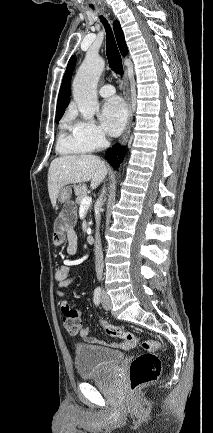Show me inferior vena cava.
<instances>
[{
	"label": "inferior vena cava",
	"instance_id": "602c4592",
	"mask_svg": "<svg viewBox=\"0 0 213 433\" xmlns=\"http://www.w3.org/2000/svg\"><path fill=\"white\" fill-rule=\"evenodd\" d=\"M105 193V189L102 190V193L98 199V204L101 205L103 201V195ZM96 235H95V266H96V274L99 281L102 280V274H103V252H102V246H101V240H100V234H99V224H100V216H96Z\"/></svg>",
	"mask_w": 213,
	"mask_h": 433
}]
</instances>
